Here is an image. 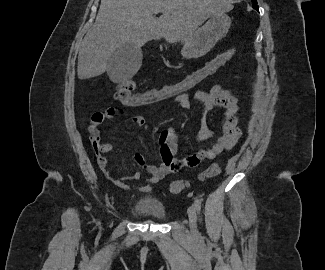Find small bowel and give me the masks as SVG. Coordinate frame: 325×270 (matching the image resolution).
<instances>
[{
  "label": "small bowel",
  "mask_w": 325,
  "mask_h": 270,
  "mask_svg": "<svg viewBox=\"0 0 325 270\" xmlns=\"http://www.w3.org/2000/svg\"><path fill=\"white\" fill-rule=\"evenodd\" d=\"M162 88L163 87L157 89ZM134 96L144 95L143 92H138ZM174 101L183 109L191 108L192 101L199 103L202 106L203 114H206L216 108H224L223 119L221 122V135L216 139L215 143L209 149L200 150L195 154L188 156L184 160L185 166L195 167L202 160H213L223 151L230 150L239 140L241 136V130L238 127L239 119L237 116L239 112V105L238 100L231 94L230 91L223 89L220 85H214L208 92L196 90L192 96H190L188 93H183L182 96H175ZM151 104L156 103L124 104V109H129V106L142 107ZM126 117L127 112L122 108L118 109L116 107H110L104 112L94 113L92 115L90 125L91 143L96 152L97 162L100 169L114 185L126 190L137 189L142 192H149L152 189V185L158 183L178 168V160L174 157L178 149V136L173 127H168L159 135V151L162 160L159 165L150 164L146 161L145 157L141 153H135V163L138 166L146 169L149 172L150 177L145 181L144 184L134 186L130 184V181L140 179L141 173L139 171L130 174L126 178H116L111 175L105 154L110 152L113 146L109 142L102 143L100 141L98 131V127L105 121L115 118L126 120ZM128 123L134 127H143L145 125V119L141 115H135L128 120ZM212 136V131L209 129L205 120L203 119L198 132V138L200 140H208Z\"/></svg>",
  "instance_id": "c3829d8e"
}]
</instances>
